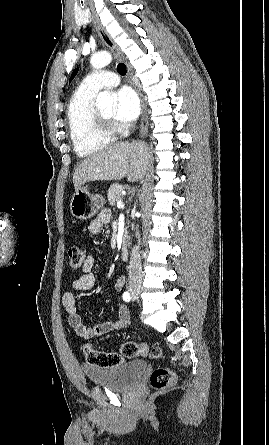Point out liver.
Masks as SVG:
<instances>
[{
  "mask_svg": "<svg viewBox=\"0 0 269 445\" xmlns=\"http://www.w3.org/2000/svg\"><path fill=\"white\" fill-rule=\"evenodd\" d=\"M148 146L143 142H121L97 152L81 162L73 175L75 191L89 181H111L127 177L141 180L148 164Z\"/></svg>",
  "mask_w": 269,
  "mask_h": 445,
  "instance_id": "6515ba94",
  "label": "liver"
}]
</instances>
